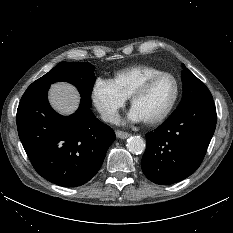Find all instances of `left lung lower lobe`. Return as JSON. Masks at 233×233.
<instances>
[{
  "label": "left lung lower lobe",
  "instance_id": "left-lung-lower-lobe-1",
  "mask_svg": "<svg viewBox=\"0 0 233 233\" xmlns=\"http://www.w3.org/2000/svg\"><path fill=\"white\" fill-rule=\"evenodd\" d=\"M213 99L191 104L173 113L154 132L146 134L142 171L152 182L177 183L200 166L216 127Z\"/></svg>",
  "mask_w": 233,
  "mask_h": 233
}]
</instances>
